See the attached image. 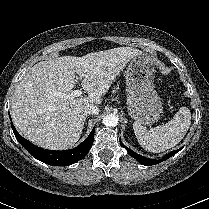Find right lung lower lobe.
<instances>
[{
	"label": "right lung lower lobe",
	"instance_id": "98d812e1",
	"mask_svg": "<svg viewBox=\"0 0 209 209\" xmlns=\"http://www.w3.org/2000/svg\"><path fill=\"white\" fill-rule=\"evenodd\" d=\"M11 120V117H10ZM14 135L18 142L36 159L54 166H68L85 157L94 141L95 128L91 131L90 135L76 148L70 150L56 151L44 150L40 147L33 145L30 141L23 138L11 123Z\"/></svg>",
	"mask_w": 209,
	"mask_h": 209
}]
</instances>
